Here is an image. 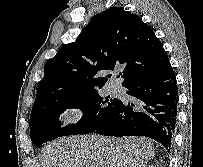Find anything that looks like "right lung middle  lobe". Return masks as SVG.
Masks as SVG:
<instances>
[{
	"label": "right lung middle lobe",
	"instance_id": "dd1d6c3e",
	"mask_svg": "<svg viewBox=\"0 0 203 167\" xmlns=\"http://www.w3.org/2000/svg\"><path fill=\"white\" fill-rule=\"evenodd\" d=\"M119 102L109 96L102 98L98 91L53 99L32 110L29 123L31 140L37 147H41L44 142L61 136L92 133ZM68 108L80 109L83 116L75 125L60 129L58 118Z\"/></svg>",
	"mask_w": 203,
	"mask_h": 167
}]
</instances>
